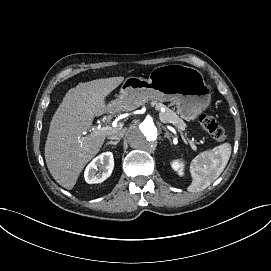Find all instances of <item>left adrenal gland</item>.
Listing matches in <instances>:
<instances>
[{"instance_id":"1","label":"left adrenal gland","mask_w":271,"mask_h":271,"mask_svg":"<svg viewBox=\"0 0 271 271\" xmlns=\"http://www.w3.org/2000/svg\"><path fill=\"white\" fill-rule=\"evenodd\" d=\"M162 129L165 131L164 137L168 138L171 141L170 134L165 126H162Z\"/></svg>"}]
</instances>
